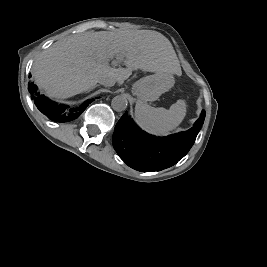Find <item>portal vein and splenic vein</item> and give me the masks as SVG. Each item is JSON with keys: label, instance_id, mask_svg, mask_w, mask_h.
I'll use <instances>...</instances> for the list:
<instances>
[{"label": "portal vein and splenic vein", "instance_id": "18ae733b", "mask_svg": "<svg viewBox=\"0 0 267 267\" xmlns=\"http://www.w3.org/2000/svg\"><path fill=\"white\" fill-rule=\"evenodd\" d=\"M123 59L122 55H119L116 57V60L112 61V65L116 66L118 64L119 61H121Z\"/></svg>", "mask_w": 267, "mask_h": 267}]
</instances>
